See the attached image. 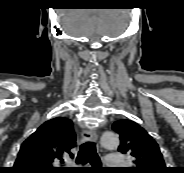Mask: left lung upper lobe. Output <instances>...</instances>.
Segmentation results:
<instances>
[{"label": "left lung upper lobe", "instance_id": "left-lung-upper-lobe-1", "mask_svg": "<svg viewBox=\"0 0 184 173\" xmlns=\"http://www.w3.org/2000/svg\"><path fill=\"white\" fill-rule=\"evenodd\" d=\"M112 129L120 135L118 151L131 157L134 167L123 168L122 173H167L158 144L137 123L119 120Z\"/></svg>", "mask_w": 184, "mask_h": 173}]
</instances>
